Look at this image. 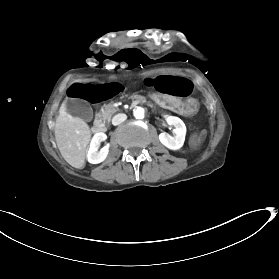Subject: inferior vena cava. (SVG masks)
I'll return each mask as SVG.
<instances>
[{"mask_svg":"<svg viewBox=\"0 0 279 279\" xmlns=\"http://www.w3.org/2000/svg\"><path fill=\"white\" fill-rule=\"evenodd\" d=\"M126 118H127V117H126L125 114H118V115H116V116L112 119V124H113V125H119V124L122 123Z\"/></svg>","mask_w":279,"mask_h":279,"instance_id":"1","label":"inferior vena cava"}]
</instances>
